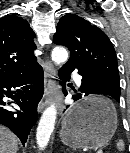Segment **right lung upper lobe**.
Segmentation results:
<instances>
[{"label": "right lung upper lobe", "mask_w": 130, "mask_h": 153, "mask_svg": "<svg viewBox=\"0 0 130 153\" xmlns=\"http://www.w3.org/2000/svg\"><path fill=\"white\" fill-rule=\"evenodd\" d=\"M34 37L25 19L17 15L0 19V78L26 74L40 66L33 52Z\"/></svg>", "instance_id": "1"}]
</instances>
